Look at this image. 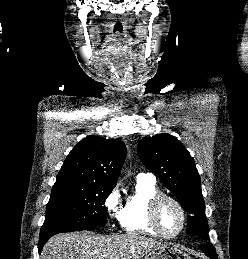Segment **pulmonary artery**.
Instances as JSON below:
<instances>
[{"label":"pulmonary artery","mask_w":248,"mask_h":259,"mask_svg":"<svg viewBox=\"0 0 248 259\" xmlns=\"http://www.w3.org/2000/svg\"><path fill=\"white\" fill-rule=\"evenodd\" d=\"M139 178H147L150 180H154L155 181V176L152 173H140L138 175Z\"/></svg>","instance_id":"obj_1"}]
</instances>
